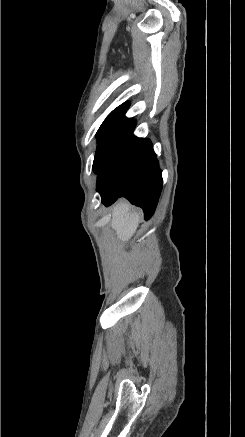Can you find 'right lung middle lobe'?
<instances>
[{
	"mask_svg": "<svg viewBox=\"0 0 245 437\" xmlns=\"http://www.w3.org/2000/svg\"><path fill=\"white\" fill-rule=\"evenodd\" d=\"M128 108L117 107L103 121L97 132V151L93 162V171L97 173L114 148L136 126L132 118H126Z\"/></svg>",
	"mask_w": 245,
	"mask_h": 437,
	"instance_id": "1",
	"label": "right lung middle lobe"
}]
</instances>
